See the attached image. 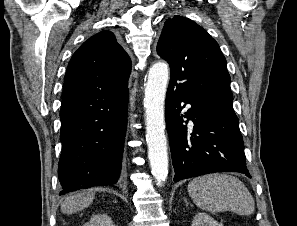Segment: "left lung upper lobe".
Returning <instances> with one entry per match:
<instances>
[{"label":"left lung upper lobe","mask_w":297,"mask_h":226,"mask_svg":"<svg viewBox=\"0 0 297 226\" xmlns=\"http://www.w3.org/2000/svg\"><path fill=\"white\" fill-rule=\"evenodd\" d=\"M157 53L169 63L175 82L190 90L233 96L218 43L190 19L176 15L165 22Z\"/></svg>","instance_id":"obj_1"}]
</instances>
